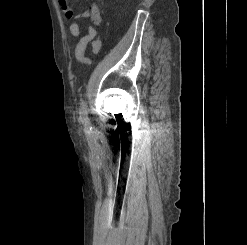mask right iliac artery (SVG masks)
Returning <instances> with one entry per match:
<instances>
[{
    "instance_id": "right-iliac-artery-1",
    "label": "right iliac artery",
    "mask_w": 247,
    "mask_h": 245,
    "mask_svg": "<svg viewBox=\"0 0 247 245\" xmlns=\"http://www.w3.org/2000/svg\"><path fill=\"white\" fill-rule=\"evenodd\" d=\"M80 115H81L80 119H81L82 123L84 124L85 129L90 130L91 127H90V123H89V120L87 117V110H86V105H85L84 101H82V105H81V109H80Z\"/></svg>"
}]
</instances>
